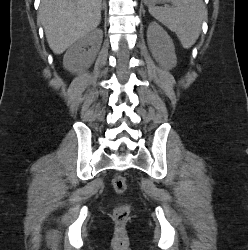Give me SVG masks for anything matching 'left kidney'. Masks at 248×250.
I'll use <instances>...</instances> for the list:
<instances>
[{"instance_id": "5707ae66", "label": "left kidney", "mask_w": 248, "mask_h": 250, "mask_svg": "<svg viewBox=\"0 0 248 250\" xmlns=\"http://www.w3.org/2000/svg\"><path fill=\"white\" fill-rule=\"evenodd\" d=\"M147 41L153 57L163 68L170 70L176 66L177 58L173 41L158 23H150Z\"/></svg>"}]
</instances>
